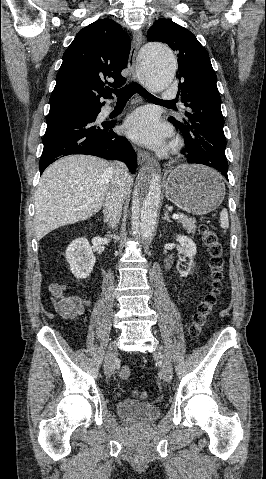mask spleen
<instances>
[{
  "instance_id": "spleen-1",
  "label": "spleen",
  "mask_w": 266,
  "mask_h": 479,
  "mask_svg": "<svg viewBox=\"0 0 266 479\" xmlns=\"http://www.w3.org/2000/svg\"><path fill=\"white\" fill-rule=\"evenodd\" d=\"M220 226L224 229V232H226V229L229 227L228 212L226 208L220 212Z\"/></svg>"
}]
</instances>
